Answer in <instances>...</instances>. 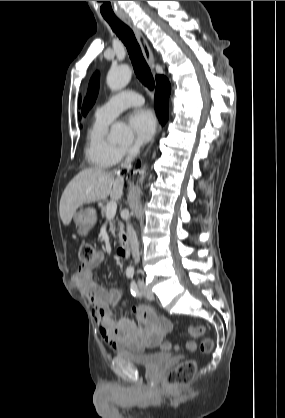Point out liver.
Listing matches in <instances>:
<instances>
[{
	"mask_svg": "<svg viewBox=\"0 0 285 418\" xmlns=\"http://www.w3.org/2000/svg\"><path fill=\"white\" fill-rule=\"evenodd\" d=\"M124 180L100 168H88L79 172L66 186L59 206L61 220L69 225L76 210L83 204L105 200L109 195L113 201L123 193Z\"/></svg>",
	"mask_w": 285,
	"mask_h": 418,
	"instance_id": "1",
	"label": "liver"
}]
</instances>
